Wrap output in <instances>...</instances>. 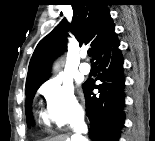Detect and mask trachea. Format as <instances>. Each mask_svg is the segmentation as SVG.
Instances as JSON below:
<instances>
[{"label": "trachea", "mask_w": 155, "mask_h": 141, "mask_svg": "<svg viewBox=\"0 0 155 141\" xmlns=\"http://www.w3.org/2000/svg\"><path fill=\"white\" fill-rule=\"evenodd\" d=\"M88 55L91 56L92 55V50H88Z\"/></svg>", "instance_id": "1"}]
</instances>
